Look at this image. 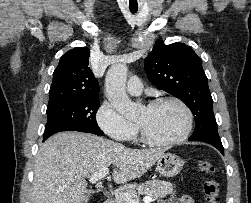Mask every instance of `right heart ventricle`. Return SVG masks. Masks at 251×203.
Masks as SVG:
<instances>
[{"instance_id": "obj_1", "label": "right heart ventricle", "mask_w": 251, "mask_h": 203, "mask_svg": "<svg viewBox=\"0 0 251 203\" xmlns=\"http://www.w3.org/2000/svg\"><path fill=\"white\" fill-rule=\"evenodd\" d=\"M135 136H136V132L134 133L133 137H135ZM133 137H132V138H133Z\"/></svg>"}]
</instances>
